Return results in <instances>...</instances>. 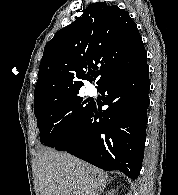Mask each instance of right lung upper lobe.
Here are the masks:
<instances>
[{
  "label": "right lung upper lobe",
  "instance_id": "right-lung-upper-lobe-1",
  "mask_svg": "<svg viewBox=\"0 0 178 195\" xmlns=\"http://www.w3.org/2000/svg\"><path fill=\"white\" fill-rule=\"evenodd\" d=\"M147 54L128 12L104 2L90 4L82 16L59 30L46 44L34 91V108L79 92L82 80L97 84L129 72ZM92 75V76H89Z\"/></svg>",
  "mask_w": 178,
  "mask_h": 195
}]
</instances>
